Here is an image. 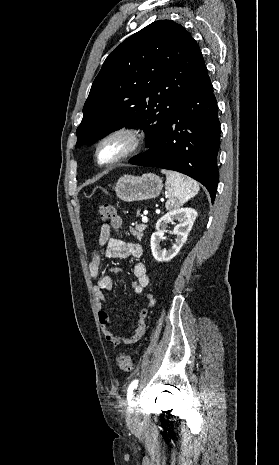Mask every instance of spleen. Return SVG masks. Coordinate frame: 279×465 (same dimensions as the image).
Here are the masks:
<instances>
[{
	"label": "spleen",
	"mask_w": 279,
	"mask_h": 465,
	"mask_svg": "<svg viewBox=\"0 0 279 465\" xmlns=\"http://www.w3.org/2000/svg\"><path fill=\"white\" fill-rule=\"evenodd\" d=\"M166 175V190L169 199L166 209H175L198 194L200 188L196 181L180 173L173 171H162Z\"/></svg>",
	"instance_id": "3e777b00"
}]
</instances>
